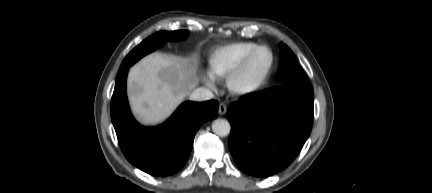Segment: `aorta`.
<instances>
[{
    "mask_svg": "<svg viewBox=\"0 0 432 193\" xmlns=\"http://www.w3.org/2000/svg\"><path fill=\"white\" fill-rule=\"evenodd\" d=\"M231 126L230 123L225 119H216L212 123V131L220 136L225 137L230 133Z\"/></svg>",
    "mask_w": 432,
    "mask_h": 193,
    "instance_id": "aorta-1",
    "label": "aorta"
}]
</instances>
